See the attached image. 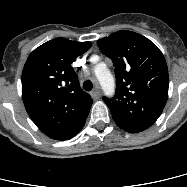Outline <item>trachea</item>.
<instances>
[{
  "label": "trachea",
  "mask_w": 187,
  "mask_h": 187,
  "mask_svg": "<svg viewBox=\"0 0 187 187\" xmlns=\"http://www.w3.org/2000/svg\"><path fill=\"white\" fill-rule=\"evenodd\" d=\"M83 88L84 90L86 91H91L92 88H93V84L90 80H86L84 83H83Z\"/></svg>",
  "instance_id": "trachea-1"
}]
</instances>
